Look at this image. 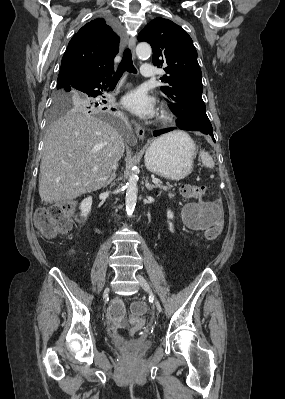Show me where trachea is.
Here are the masks:
<instances>
[{"instance_id":"3493384b","label":"trachea","mask_w":285,"mask_h":399,"mask_svg":"<svg viewBox=\"0 0 285 399\" xmlns=\"http://www.w3.org/2000/svg\"><path fill=\"white\" fill-rule=\"evenodd\" d=\"M128 71L130 73H136V69L133 65L131 51L126 49L123 54V58L118 66L116 73L113 76V80H118L122 76V74Z\"/></svg>"}]
</instances>
